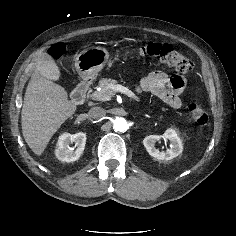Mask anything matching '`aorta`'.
I'll list each match as a JSON object with an SVG mask.
<instances>
[{"label":"aorta","instance_id":"762f6f07","mask_svg":"<svg viewBox=\"0 0 236 236\" xmlns=\"http://www.w3.org/2000/svg\"><path fill=\"white\" fill-rule=\"evenodd\" d=\"M113 128L116 130V131H119V132H125L127 131L128 129V123L127 121L122 118V117H119V118H116L113 122Z\"/></svg>","mask_w":236,"mask_h":236}]
</instances>
